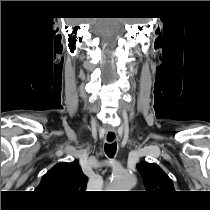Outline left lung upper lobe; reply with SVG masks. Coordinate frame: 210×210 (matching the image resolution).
I'll return each instance as SVG.
<instances>
[{"label":"left lung upper lobe","instance_id":"left-lung-upper-lobe-1","mask_svg":"<svg viewBox=\"0 0 210 210\" xmlns=\"http://www.w3.org/2000/svg\"><path fill=\"white\" fill-rule=\"evenodd\" d=\"M137 169L142 175L145 188L150 193L173 192V182L168 175L155 163H141Z\"/></svg>","mask_w":210,"mask_h":210}]
</instances>
